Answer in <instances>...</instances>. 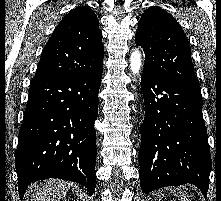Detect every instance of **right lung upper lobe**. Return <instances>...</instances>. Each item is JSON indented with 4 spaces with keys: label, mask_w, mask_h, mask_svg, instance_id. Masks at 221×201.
I'll return each instance as SVG.
<instances>
[{
    "label": "right lung upper lobe",
    "mask_w": 221,
    "mask_h": 201,
    "mask_svg": "<svg viewBox=\"0 0 221 201\" xmlns=\"http://www.w3.org/2000/svg\"><path fill=\"white\" fill-rule=\"evenodd\" d=\"M104 48L96 14L89 7L68 13L44 47L36 76L71 77L103 68Z\"/></svg>",
    "instance_id": "cb5924a9"
}]
</instances>
